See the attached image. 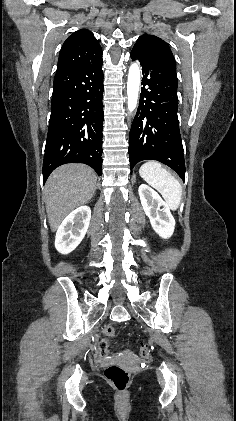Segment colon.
Returning <instances> with one entry per match:
<instances>
[{"label": "colon", "mask_w": 236, "mask_h": 421, "mask_svg": "<svg viewBox=\"0 0 236 421\" xmlns=\"http://www.w3.org/2000/svg\"><path fill=\"white\" fill-rule=\"evenodd\" d=\"M114 337V329L109 326L104 330V336L99 343V352L101 355L106 356L109 353V344ZM140 355L143 358L150 356V347L148 344H142L140 347ZM105 378L118 390H124L128 387L131 374L123 367L112 364L109 365L104 372Z\"/></svg>", "instance_id": "5ec220e1"}]
</instances>
